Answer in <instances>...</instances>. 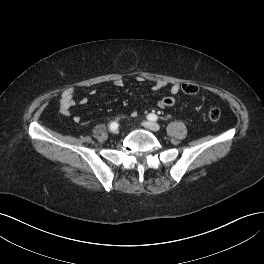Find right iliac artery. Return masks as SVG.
I'll return each instance as SVG.
<instances>
[{
  "label": "right iliac artery",
  "instance_id": "82829eb1",
  "mask_svg": "<svg viewBox=\"0 0 264 264\" xmlns=\"http://www.w3.org/2000/svg\"><path fill=\"white\" fill-rule=\"evenodd\" d=\"M118 128V123L116 121H113L110 123V129L113 130V129H117Z\"/></svg>",
  "mask_w": 264,
  "mask_h": 264
}]
</instances>
